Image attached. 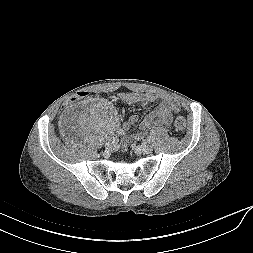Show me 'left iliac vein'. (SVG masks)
<instances>
[{
	"label": "left iliac vein",
	"mask_w": 253,
	"mask_h": 253,
	"mask_svg": "<svg viewBox=\"0 0 253 253\" xmlns=\"http://www.w3.org/2000/svg\"><path fill=\"white\" fill-rule=\"evenodd\" d=\"M152 150H153V147L150 144H143L137 147V151L143 154H149L152 152Z\"/></svg>",
	"instance_id": "left-iliac-vein-1"
}]
</instances>
